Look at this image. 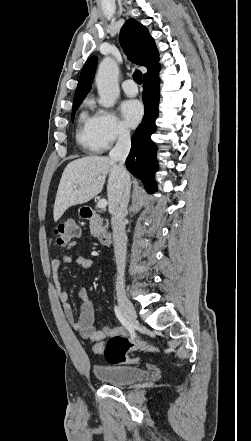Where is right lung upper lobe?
<instances>
[{"label": "right lung upper lobe", "mask_w": 251, "mask_h": 441, "mask_svg": "<svg viewBox=\"0 0 251 441\" xmlns=\"http://www.w3.org/2000/svg\"><path fill=\"white\" fill-rule=\"evenodd\" d=\"M119 40L128 58L132 62L147 68V73L144 74V77L160 69L158 50L145 26L130 18L123 25ZM97 61V57L92 56L84 64L75 92L74 102L83 100L90 91Z\"/></svg>", "instance_id": "right-lung-upper-lobe-1"}]
</instances>
